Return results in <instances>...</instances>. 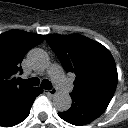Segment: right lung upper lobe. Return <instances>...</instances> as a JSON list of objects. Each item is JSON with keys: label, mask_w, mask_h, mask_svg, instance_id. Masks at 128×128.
Wrapping results in <instances>:
<instances>
[{"label": "right lung upper lobe", "mask_w": 128, "mask_h": 128, "mask_svg": "<svg viewBox=\"0 0 128 128\" xmlns=\"http://www.w3.org/2000/svg\"><path fill=\"white\" fill-rule=\"evenodd\" d=\"M44 39V35L22 30H10L0 35V109L30 88L17 82L14 75L23 73L20 64L25 54Z\"/></svg>", "instance_id": "obj_1"}]
</instances>
